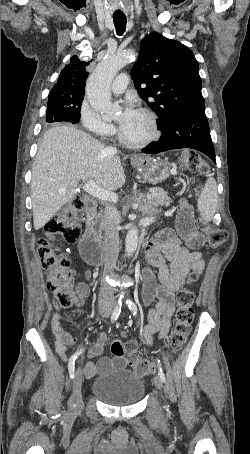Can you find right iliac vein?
I'll use <instances>...</instances> for the list:
<instances>
[{"mask_svg":"<svg viewBox=\"0 0 250 454\" xmlns=\"http://www.w3.org/2000/svg\"><path fill=\"white\" fill-rule=\"evenodd\" d=\"M111 312L110 308H103L100 310V315L103 318H106ZM82 371L78 369L75 373V377L73 380V394L69 401V408L72 414H75L83 409V400H82Z\"/></svg>","mask_w":250,"mask_h":454,"instance_id":"right-iliac-vein-1","label":"right iliac vein"}]
</instances>
